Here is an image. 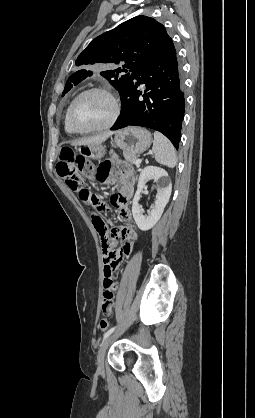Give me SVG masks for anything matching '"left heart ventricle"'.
Segmentation results:
<instances>
[{"mask_svg": "<svg viewBox=\"0 0 255 418\" xmlns=\"http://www.w3.org/2000/svg\"><path fill=\"white\" fill-rule=\"evenodd\" d=\"M111 114L110 99L101 93H91L77 103L72 120L79 128H92L106 123Z\"/></svg>", "mask_w": 255, "mask_h": 418, "instance_id": "1", "label": "left heart ventricle"}]
</instances>
